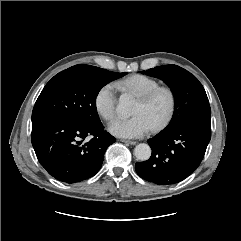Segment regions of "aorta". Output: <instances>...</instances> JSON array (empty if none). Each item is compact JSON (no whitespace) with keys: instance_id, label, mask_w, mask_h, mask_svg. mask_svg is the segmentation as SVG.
Listing matches in <instances>:
<instances>
[{"instance_id":"obj_1","label":"aorta","mask_w":241,"mask_h":241,"mask_svg":"<svg viewBox=\"0 0 241 241\" xmlns=\"http://www.w3.org/2000/svg\"><path fill=\"white\" fill-rule=\"evenodd\" d=\"M132 100L126 96H121L117 105V111L121 116H129L131 113ZM134 155L138 160L146 161L151 156V148L148 144H138L134 149Z\"/></svg>"}]
</instances>
